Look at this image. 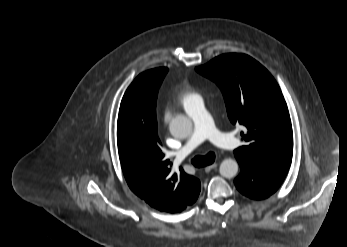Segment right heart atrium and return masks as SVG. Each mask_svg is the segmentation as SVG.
<instances>
[{
  "instance_id": "right-heart-atrium-1",
  "label": "right heart atrium",
  "mask_w": 347,
  "mask_h": 247,
  "mask_svg": "<svg viewBox=\"0 0 347 247\" xmlns=\"http://www.w3.org/2000/svg\"><path fill=\"white\" fill-rule=\"evenodd\" d=\"M164 119L167 120V116L166 115L164 116Z\"/></svg>"
}]
</instances>
